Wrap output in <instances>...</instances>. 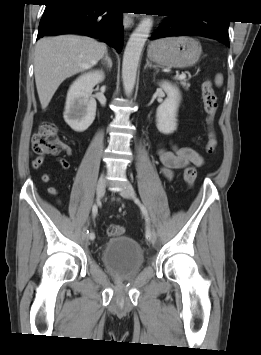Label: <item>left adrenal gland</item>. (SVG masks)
I'll use <instances>...</instances> for the list:
<instances>
[{"instance_id":"obj_1","label":"left adrenal gland","mask_w":261,"mask_h":355,"mask_svg":"<svg viewBox=\"0 0 261 355\" xmlns=\"http://www.w3.org/2000/svg\"><path fill=\"white\" fill-rule=\"evenodd\" d=\"M148 67L156 69V67L153 66L148 59H146V65L144 66V69H147Z\"/></svg>"}]
</instances>
